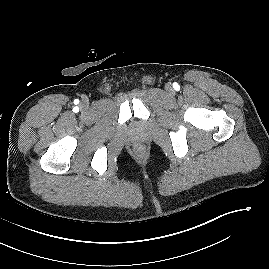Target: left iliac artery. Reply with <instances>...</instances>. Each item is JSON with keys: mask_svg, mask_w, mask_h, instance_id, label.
<instances>
[{"mask_svg": "<svg viewBox=\"0 0 269 269\" xmlns=\"http://www.w3.org/2000/svg\"><path fill=\"white\" fill-rule=\"evenodd\" d=\"M174 87H175V89H177L178 88V84H174Z\"/></svg>", "mask_w": 269, "mask_h": 269, "instance_id": "1", "label": "left iliac artery"}]
</instances>
